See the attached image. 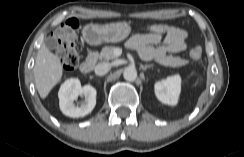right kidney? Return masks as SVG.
<instances>
[{
	"label": "right kidney",
	"instance_id": "1",
	"mask_svg": "<svg viewBox=\"0 0 244 157\" xmlns=\"http://www.w3.org/2000/svg\"><path fill=\"white\" fill-rule=\"evenodd\" d=\"M96 89L91 85L81 86L79 79H68L60 87L58 97L62 113L68 117H84L92 112L96 105ZM79 95L85 96L81 106H75L74 100Z\"/></svg>",
	"mask_w": 244,
	"mask_h": 157
}]
</instances>
